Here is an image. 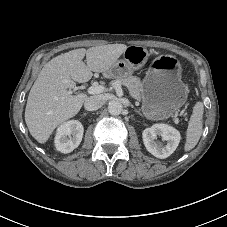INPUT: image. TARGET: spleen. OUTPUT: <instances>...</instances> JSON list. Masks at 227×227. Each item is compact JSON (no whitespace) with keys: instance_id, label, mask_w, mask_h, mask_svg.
I'll use <instances>...</instances> for the list:
<instances>
[{"instance_id":"1","label":"spleen","mask_w":227,"mask_h":227,"mask_svg":"<svg viewBox=\"0 0 227 227\" xmlns=\"http://www.w3.org/2000/svg\"><path fill=\"white\" fill-rule=\"evenodd\" d=\"M203 112L204 106L202 102H197L193 108V113L190 117V121L188 124L187 132H186V142L184 146V150L186 152L192 150L198 143L203 129Z\"/></svg>"}]
</instances>
